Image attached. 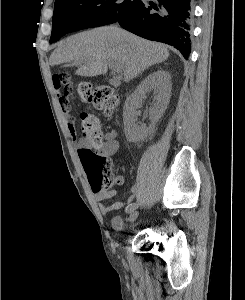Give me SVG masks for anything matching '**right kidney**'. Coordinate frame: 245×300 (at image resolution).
Returning <instances> with one entry per match:
<instances>
[{
  "label": "right kidney",
  "instance_id": "right-kidney-1",
  "mask_svg": "<svg viewBox=\"0 0 245 300\" xmlns=\"http://www.w3.org/2000/svg\"><path fill=\"white\" fill-rule=\"evenodd\" d=\"M171 76L164 70L151 73L143 80L137 89L125 102L123 109L124 132L129 142H142L151 135L155 123L162 117L171 96ZM153 91L154 103L152 107L151 124L147 127L137 123V109L147 93Z\"/></svg>",
  "mask_w": 245,
  "mask_h": 300
}]
</instances>
